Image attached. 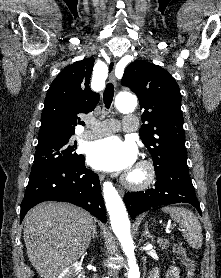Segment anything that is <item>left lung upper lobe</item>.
<instances>
[{
	"mask_svg": "<svg viewBox=\"0 0 221 278\" xmlns=\"http://www.w3.org/2000/svg\"><path fill=\"white\" fill-rule=\"evenodd\" d=\"M122 85L137 95L143 109L139 134L155 172L174 160H186L181 94L173 77L158 65L135 61L125 69Z\"/></svg>",
	"mask_w": 221,
	"mask_h": 278,
	"instance_id": "1",
	"label": "left lung upper lobe"
}]
</instances>
